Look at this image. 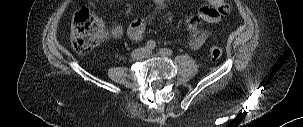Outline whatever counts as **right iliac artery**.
Listing matches in <instances>:
<instances>
[{"label":"right iliac artery","mask_w":303,"mask_h":127,"mask_svg":"<svg viewBox=\"0 0 303 127\" xmlns=\"http://www.w3.org/2000/svg\"><path fill=\"white\" fill-rule=\"evenodd\" d=\"M155 47H156V43L152 40L148 41L146 44V48L148 50H153V49H155Z\"/></svg>","instance_id":"1"}]
</instances>
